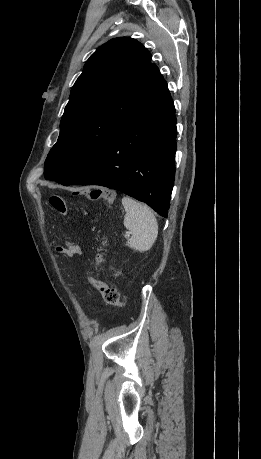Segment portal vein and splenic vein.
Here are the masks:
<instances>
[{"mask_svg":"<svg viewBox=\"0 0 261 459\" xmlns=\"http://www.w3.org/2000/svg\"><path fill=\"white\" fill-rule=\"evenodd\" d=\"M129 235H130V233H129V232H126V236H129Z\"/></svg>","mask_w":261,"mask_h":459,"instance_id":"portal-vein-and-splenic-vein-1","label":"portal vein and splenic vein"}]
</instances>
